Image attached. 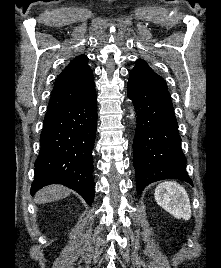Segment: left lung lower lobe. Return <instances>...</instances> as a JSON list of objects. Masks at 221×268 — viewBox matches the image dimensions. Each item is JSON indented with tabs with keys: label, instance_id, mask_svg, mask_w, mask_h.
<instances>
[{
	"label": "left lung lower lobe",
	"instance_id": "0a47b994",
	"mask_svg": "<svg viewBox=\"0 0 221 268\" xmlns=\"http://www.w3.org/2000/svg\"><path fill=\"white\" fill-rule=\"evenodd\" d=\"M127 93L137 116L133 163L138 194L148 184L168 178L184 180L192 185L167 88L129 78Z\"/></svg>",
	"mask_w": 221,
	"mask_h": 268
}]
</instances>
